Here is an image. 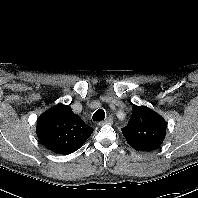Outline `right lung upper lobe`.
Segmentation results:
<instances>
[{"instance_id":"1","label":"right lung upper lobe","mask_w":198,"mask_h":198,"mask_svg":"<svg viewBox=\"0 0 198 198\" xmlns=\"http://www.w3.org/2000/svg\"><path fill=\"white\" fill-rule=\"evenodd\" d=\"M92 132L69 105L58 104L37 119L38 138L47 149L58 154L75 152Z\"/></svg>"}]
</instances>
